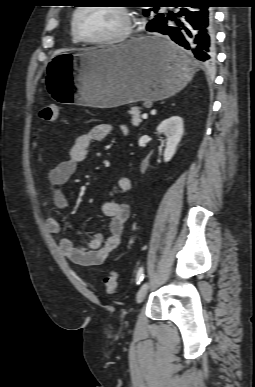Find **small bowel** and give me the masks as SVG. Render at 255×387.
<instances>
[{
  "label": "small bowel",
  "instance_id": "obj_1",
  "mask_svg": "<svg viewBox=\"0 0 255 387\" xmlns=\"http://www.w3.org/2000/svg\"><path fill=\"white\" fill-rule=\"evenodd\" d=\"M120 128L124 134H127L126 126L121 125ZM112 131V125L107 123L93 126L75 139L69 150L68 158L48 171L47 181L52 188V201L56 209L64 212L68 208V201L62 186L75 174L79 164L85 161L90 145L105 139ZM131 186L132 181L129 177L122 176L117 180L116 187L119 192H127ZM101 211L110 219L108 236L96 234L86 245H76L67 237L62 238L59 242L61 253L75 264L101 265L122 242L125 223L131 214L129 205L115 199H107L103 202ZM46 227L50 233L59 234L61 232V222L57 217H48Z\"/></svg>",
  "mask_w": 255,
  "mask_h": 387
}]
</instances>
